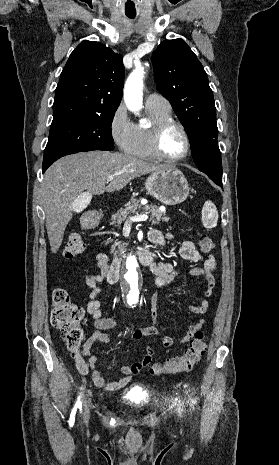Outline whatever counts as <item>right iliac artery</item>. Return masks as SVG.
Returning <instances> with one entry per match:
<instances>
[{"instance_id":"82829eb1","label":"right iliac artery","mask_w":279,"mask_h":465,"mask_svg":"<svg viewBox=\"0 0 279 465\" xmlns=\"http://www.w3.org/2000/svg\"><path fill=\"white\" fill-rule=\"evenodd\" d=\"M79 398H78V401L76 402V404H75V406H74V408L72 410L71 417H74V415H75V413L77 411V408H81V402H80Z\"/></svg>"}]
</instances>
